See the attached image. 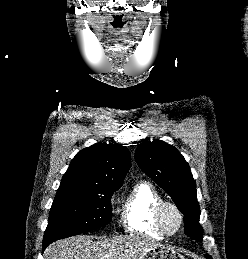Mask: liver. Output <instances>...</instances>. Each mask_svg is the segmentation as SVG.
Instances as JSON below:
<instances>
[{
	"mask_svg": "<svg viewBox=\"0 0 248 259\" xmlns=\"http://www.w3.org/2000/svg\"><path fill=\"white\" fill-rule=\"evenodd\" d=\"M160 243L135 235L101 238L74 236L50 244L45 259H141V257Z\"/></svg>",
	"mask_w": 248,
	"mask_h": 259,
	"instance_id": "obj_1",
	"label": "liver"
}]
</instances>
